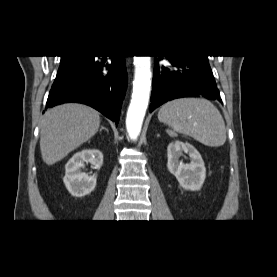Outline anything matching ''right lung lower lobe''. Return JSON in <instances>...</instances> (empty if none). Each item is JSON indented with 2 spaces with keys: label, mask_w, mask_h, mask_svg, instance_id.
Returning a JSON list of instances; mask_svg holds the SVG:
<instances>
[{
  "label": "right lung lower lobe",
  "mask_w": 277,
  "mask_h": 277,
  "mask_svg": "<svg viewBox=\"0 0 277 277\" xmlns=\"http://www.w3.org/2000/svg\"><path fill=\"white\" fill-rule=\"evenodd\" d=\"M97 57L87 56L82 63L56 77L47 108L68 102L84 103L118 124L127 87L125 56H109L111 63L107 64L106 57Z\"/></svg>",
  "instance_id": "1"
}]
</instances>
